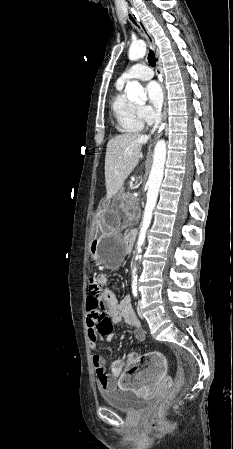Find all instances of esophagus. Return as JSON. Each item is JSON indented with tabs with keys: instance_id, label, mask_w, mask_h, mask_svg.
Returning a JSON list of instances; mask_svg holds the SVG:
<instances>
[{
	"instance_id": "obj_1",
	"label": "esophagus",
	"mask_w": 233,
	"mask_h": 449,
	"mask_svg": "<svg viewBox=\"0 0 233 449\" xmlns=\"http://www.w3.org/2000/svg\"><path fill=\"white\" fill-rule=\"evenodd\" d=\"M131 15L132 17L135 19V21L139 24V26L141 27V29L143 30L147 42L149 44V46L152 49H155V42H154V38L151 35L148 27L145 25V23L142 21L141 17L139 16V14L135 11V10H131ZM160 81L162 83V78L160 77ZM162 89H163V94H164V105H163V113H162V117H161V122L165 119L166 117V111H167V97H166V90L164 85L162 84Z\"/></svg>"
}]
</instances>
